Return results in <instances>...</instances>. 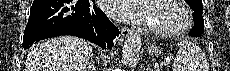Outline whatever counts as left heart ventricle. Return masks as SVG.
<instances>
[{
    "label": "left heart ventricle",
    "mask_w": 230,
    "mask_h": 71,
    "mask_svg": "<svg viewBox=\"0 0 230 71\" xmlns=\"http://www.w3.org/2000/svg\"><path fill=\"white\" fill-rule=\"evenodd\" d=\"M151 18L149 24L161 28H175L182 24L180 12L167 4L159 1H149Z\"/></svg>",
    "instance_id": "left-heart-ventricle-1"
}]
</instances>
